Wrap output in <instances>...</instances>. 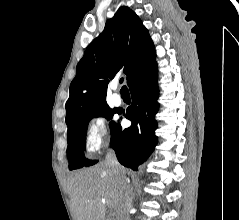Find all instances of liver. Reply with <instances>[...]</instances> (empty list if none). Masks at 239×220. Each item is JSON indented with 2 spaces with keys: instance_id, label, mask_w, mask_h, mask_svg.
Here are the masks:
<instances>
[{
  "instance_id": "1",
  "label": "liver",
  "mask_w": 239,
  "mask_h": 220,
  "mask_svg": "<svg viewBox=\"0 0 239 220\" xmlns=\"http://www.w3.org/2000/svg\"><path fill=\"white\" fill-rule=\"evenodd\" d=\"M68 191L76 220H106L105 205L114 206L119 215L122 199L118 177L105 162L72 175Z\"/></svg>"
}]
</instances>
